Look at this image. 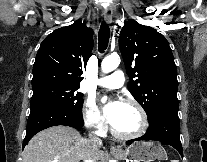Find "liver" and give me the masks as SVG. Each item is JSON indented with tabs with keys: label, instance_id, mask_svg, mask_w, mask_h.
I'll return each mask as SVG.
<instances>
[{
	"label": "liver",
	"instance_id": "obj_1",
	"mask_svg": "<svg viewBox=\"0 0 207 162\" xmlns=\"http://www.w3.org/2000/svg\"><path fill=\"white\" fill-rule=\"evenodd\" d=\"M97 147L92 152L90 139L69 126H53L37 133L25 146L23 162H80L105 160Z\"/></svg>",
	"mask_w": 207,
	"mask_h": 162
}]
</instances>
